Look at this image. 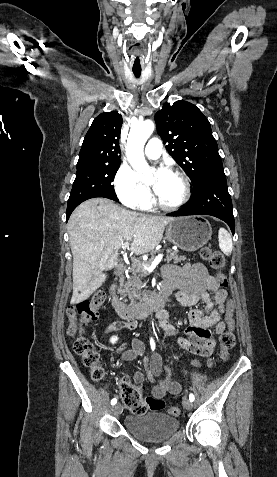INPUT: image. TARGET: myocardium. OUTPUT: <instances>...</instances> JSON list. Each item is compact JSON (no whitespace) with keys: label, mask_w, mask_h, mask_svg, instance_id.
<instances>
[{"label":"myocardium","mask_w":277,"mask_h":477,"mask_svg":"<svg viewBox=\"0 0 277 477\" xmlns=\"http://www.w3.org/2000/svg\"><path fill=\"white\" fill-rule=\"evenodd\" d=\"M172 174L176 175L183 183V195L181 199L174 204L164 203L156 192H154V202L158 208L164 211H176L182 208L191 197V182L189 177L180 170L171 171Z\"/></svg>","instance_id":"obj_1"}]
</instances>
